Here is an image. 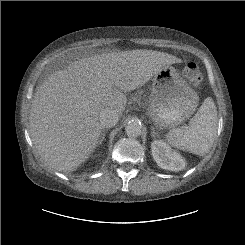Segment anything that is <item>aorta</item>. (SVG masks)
I'll use <instances>...</instances> for the list:
<instances>
[{
  "label": "aorta",
  "instance_id": "762f6f07",
  "mask_svg": "<svg viewBox=\"0 0 245 245\" xmlns=\"http://www.w3.org/2000/svg\"><path fill=\"white\" fill-rule=\"evenodd\" d=\"M125 132L129 137H138L142 133V125L136 120L129 121L125 126Z\"/></svg>",
  "mask_w": 245,
  "mask_h": 245
}]
</instances>
